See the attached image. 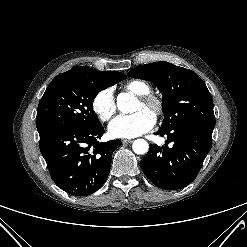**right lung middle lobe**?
Wrapping results in <instances>:
<instances>
[{
  "instance_id": "1",
  "label": "right lung middle lobe",
  "mask_w": 247,
  "mask_h": 247,
  "mask_svg": "<svg viewBox=\"0 0 247 247\" xmlns=\"http://www.w3.org/2000/svg\"><path fill=\"white\" fill-rule=\"evenodd\" d=\"M122 79L61 73L48 85L38 105L39 135L61 128H91L100 124L93 110L97 94Z\"/></svg>"
}]
</instances>
